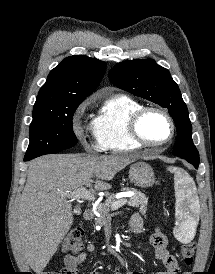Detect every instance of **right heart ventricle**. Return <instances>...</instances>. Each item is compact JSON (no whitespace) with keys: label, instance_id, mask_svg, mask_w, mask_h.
I'll return each mask as SVG.
<instances>
[{"label":"right heart ventricle","instance_id":"1","mask_svg":"<svg viewBox=\"0 0 215 274\" xmlns=\"http://www.w3.org/2000/svg\"><path fill=\"white\" fill-rule=\"evenodd\" d=\"M142 107L125 95H115L104 101L91 123L93 136L103 151L125 152L141 147L130 137L128 121Z\"/></svg>","mask_w":215,"mask_h":274}]
</instances>
